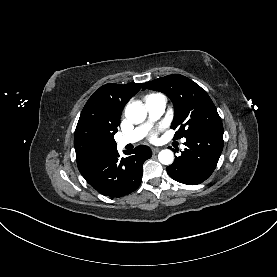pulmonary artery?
<instances>
[{
	"instance_id": "e3ab8cb5",
	"label": "pulmonary artery",
	"mask_w": 277,
	"mask_h": 277,
	"mask_svg": "<svg viewBox=\"0 0 277 277\" xmlns=\"http://www.w3.org/2000/svg\"><path fill=\"white\" fill-rule=\"evenodd\" d=\"M145 106L149 114L150 120L158 119L165 111L166 101L161 95H152L147 97L145 101ZM150 127L149 123H146L138 128H136L132 133L121 137L118 140V146L120 148L126 146L127 144H132L141 140L147 133Z\"/></svg>"
}]
</instances>
